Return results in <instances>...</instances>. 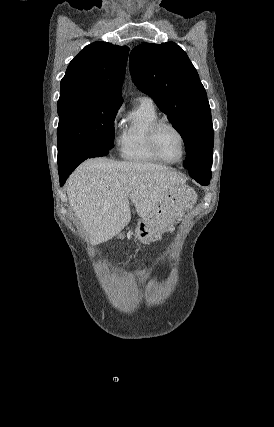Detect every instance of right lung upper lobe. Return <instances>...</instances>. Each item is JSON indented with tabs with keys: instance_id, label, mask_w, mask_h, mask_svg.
<instances>
[{
	"instance_id": "1",
	"label": "right lung upper lobe",
	"mask_w": 274,
	"mask_h": 427,
	"mask_svg": "<svg viewBox=\"0 0 274 427\" xmlns=\"http://www.w3.org/2000/svg\"><path fill=\"white\" fill-rule=\"evenodd\" d=\"M129 48L108 42L87 45L61 80L58 107L87 100H122Z\"/></svg>"
}]
</instances>
